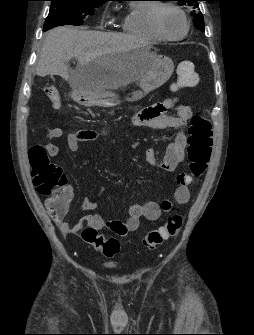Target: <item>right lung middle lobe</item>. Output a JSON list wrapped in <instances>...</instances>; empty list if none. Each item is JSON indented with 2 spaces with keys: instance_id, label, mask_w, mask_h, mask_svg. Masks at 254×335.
Wrapping results in <instances>:
<instances>
[{
  "instance_id": "obj_1",
  "label": "right lung middle lobe",
  "mask_w": 254,
  "mask_h": 335,
  "mask_svg": "<svg viewBox=\"0 0 254 335\" xmlns=\"http://www.w3.org/2000/svg\"><path fill=\"white\" fill-rule=\"evenodd\" d=\"M51 8L44 23V31L60 25H81L87 15L105 1L101 0H50Z\"/></svg>"
}]
</instances>
